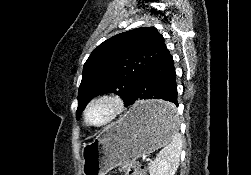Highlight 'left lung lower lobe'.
Here are the masks:
<instances>
[{
	"label": "left lung lower lobe",
	"mask_w": 251,
	"mask_h": 175,
	"mask_svg": "<svg viewBox=\"0 0 251 175\" xmlns=\"http://www.w3.org/2000/svg\"><path fill=\"white\" fill-rule=\"evenodd\" d=\"M139 99H162L178 107L175 67L168 49L140 78L125 104L132 105ZM173 104L140 107L134 115L147 122H170L176 116Z\"/></svg>",
	"instance_id": "1"
}]
</instances>
